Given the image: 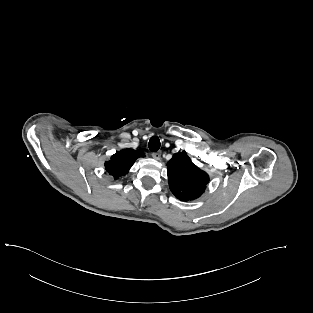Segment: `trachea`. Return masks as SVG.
Here are the masks:
<instances>
[{"label":"trachea","instance_id":"trachea-1","mask_svg":"<svg viewBox=\"0 0 313 313\" xmlns=\"http://www.w3.org/2000/svg\"><path fill=\"white\" fill-rule=\"evenodd\" d=\"M160 145H161L160 140L156 136L152 137L148 143L149 149L152 152H157L160 148Z\"/></svg>","mask_w":313,"mask_h":313}]
</instances>
